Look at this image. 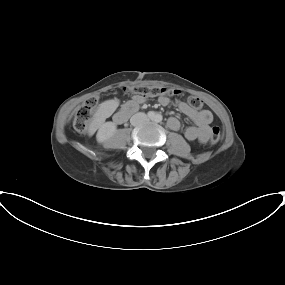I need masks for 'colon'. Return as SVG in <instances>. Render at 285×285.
<instances>
[{"mask_svg":"<svg viewBox=\"0 0 285 285\" xmlns=\"http://www.w3.org/2000/svg\"><path fill=\"white\" fill-rule=\"evenodd\" d=\"M124 91L129 95H140L143 97H156V96H171L181 93L180 90L175 88H168L165 86L157 85H134L124 88ZM189 105L195 109L200 110L204 103L203 100L197 96H189L187 99ZM98 104V97L92 96L87 99L75 112L73 118V127L76 132L83 134L89 122L93 117L94 110ZM221 139V129L218 126H213L210 130V141L216 144Z\"/></svg>","mask_w":285,"mask_h":285,"instance_id":"1","label":"colon"}]
</instances>
